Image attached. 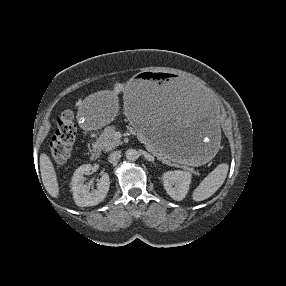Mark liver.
<instances>
[{"mask_svg":"<svg viewBox=\"0 0 286 286\" xmlns=\"http://www.w3.org/2000/svg\"><path fill=\"white\" fill-rule=\"evenodd\" d=\"M127 86L118 85L113 88L111 91H107L105 95L107 97L117 99L120 91H126ZM40 172L43 185L46 191L53 197L57 198L59 195V186L57 181V174L54 169L53 163L49 156L45 153L40 155Z\"/></svg>","mask_w":286,"mask_h":286,"instance_id":"liver-1","label":"liver"}]
</instances>
